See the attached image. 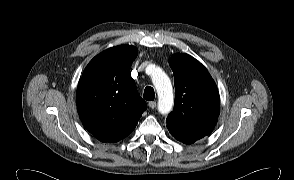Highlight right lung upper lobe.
I'll return each instance as SVG.
<instances>
[{"mask_svg": "<svg viewBox=\"0 0 294 180\" xmlns=\"http://www.w3.org/2000/svg\"><path fill=\"white\" fill-rule=\"evenodd\" d=\"M137 55L134 46L109 48L89 62L78 83L80 119L102 142H117L129 135L146 110L130 72Z\"/></svg>", "mask_w": 294, "mask_h": 180, "instance_id": "1", "label": "right lung upper lobe"}]
</instances>
